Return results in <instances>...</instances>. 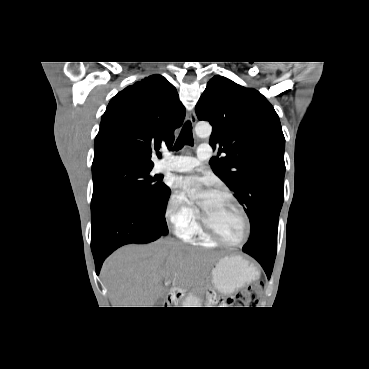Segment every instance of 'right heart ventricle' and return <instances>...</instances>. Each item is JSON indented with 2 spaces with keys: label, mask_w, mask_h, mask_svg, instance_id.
<instances>
[{
  "label": "right heart ventricle",
  "mask_w": 369,
  "mask_h": 369,
  "mask_svg": "<svg viewBox=\"0 0 369 369\" xmlns=\"http://www.w3.org/2000/svg\"><path fill=\"white\" fill-rule=\"evenodd\" d=\"M184 238L186 239H195L198 242H200L201 244L205 245V246H212L214 245V241L210 240L209 238H207L203 232L201 231L199 225L196 224V226L194 227V229L187 235H183Z\"/></svg>",
  "instance_id": "1"
}]
</instances>
